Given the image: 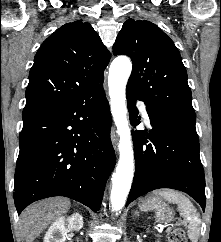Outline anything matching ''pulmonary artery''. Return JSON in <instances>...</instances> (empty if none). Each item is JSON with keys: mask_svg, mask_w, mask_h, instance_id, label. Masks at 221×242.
Masks as SVG:
<instances>
[{"mask_svg": "<svg viewBox=\"0 0 221 242\" xmlns=\"http://www.w3.org/2000/svg\"><path fill=\"white\" fill-rule=\"evenodd\" d=\"M139 109H140L145 121L148 123L149 122V116H148V113H147L146 106L143 103H139Z\"/></svg>", "mask_w": 221, "mask_h": 242, "instance_id": "pulmonary-artery-1", "label": "pulmonary artery"}]
</instances>
